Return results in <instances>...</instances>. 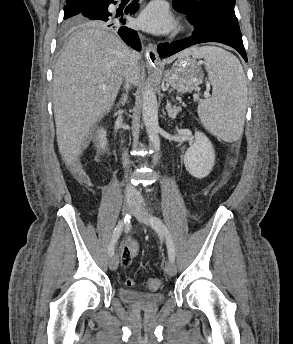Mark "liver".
Segmentation results:
<instances>
[{
    "mask_svg": "<svg viewBox=\"0 0 293 344\" xmlns=\"http://www.w3.org/2000/svg\"><path fill=\"white\" fill-rule=\"evenodd\" d=\"M95 26L71 37L55 65L56 136L59 152L67 165L79 159L90 129L110 111L132 68L128 46L114 34ZM140 81L138 67L133 84L138 85Z\"/></svg>",
    "mask_w": 293,
    "mask_h": 344,
    "instance_id": "1",
    "label": "liver"
}]
</instances>
